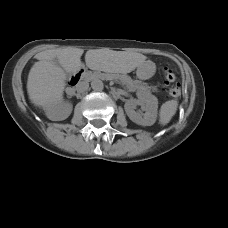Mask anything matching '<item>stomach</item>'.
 <instances>
[{"label": "stomach", "instance_id": "obj_1", "mask_svg": "<svg viewBox=\"0 0 228 228\" xmlns=\"http://www.w3.org/2000/svg\"><path fill=\"white\" fill-rule=\"evenodd\" d=\"M154 74V66L152 63H145L136 70V76L140 80L150 79Z\"/></svg>", "mask_w": 228, "mask_h": 228}]
</instances>
